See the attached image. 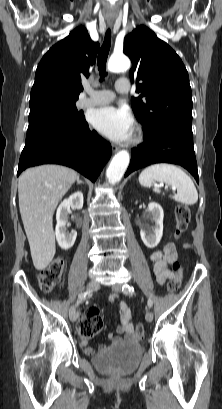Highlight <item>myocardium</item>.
<instances>
[{
	"mask_svg": "<svg viewBox=\"0 0 222 409\" xmlns=\"http://www.w3.org/2000/svg\"><path fill=\"white\" fill-rule=\"evenodd\" d=\"M143 138H144L143 130H142V128L139 127V128H137L132 141H133L134 144H139V143H141L143 141Z\"/></svg>",
	"mask_w": 222,
	"mask_h": 409,
	"instance_id": "myocardium-1",
	"label": "myocardium"
}]
</instances>
